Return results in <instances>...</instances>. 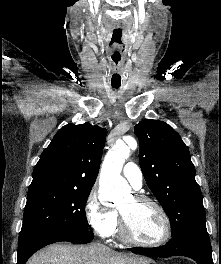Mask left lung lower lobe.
Returning a JSON list of instances; mask_svg holds the SVG:
<instances>
[{
	"label": "left lung lower lobe",
	"instance_id": "left-lung-lower-lobe-1",
	"mask_svg": "<svg viewBox=\"0 0 221 264\" xmlns=\"http://www.w3.org/2000/svg\"><path fill=\"white\" fill-rule=\"evenodd\" d=\"M133 253L150 257L186 256L198 264H213L211 243L206 231H187L173 236L161 247L130 248Z\"/></svg>",
	"mask_w": 221,
	"mask_h": 264
}]
</instances>
